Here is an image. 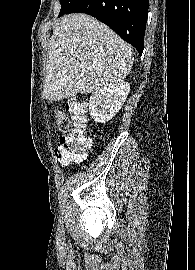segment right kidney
Listing matches in <instances>:
<instances>
[{
    "label": "right kidney",
    "instance_id": "1",
    "mask_svg": "<svg viewBox=\"0 0 195 270\" xmlns=\"http://www.w3.org/2000/svg\"><path fill=\"white\" fill-rule=\"evenodd\" d=\"M130 91L128 82L107 85L92 93L89 113L95 122L106 123L121 109Z\"/></svg>",
    "mask_w": 195,
    "mask_h": 270
}]
</instances>
